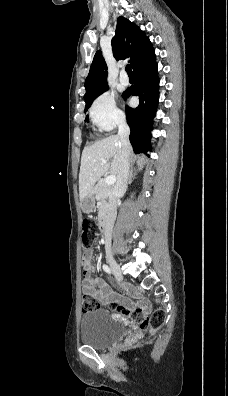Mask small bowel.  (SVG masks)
Segmentation results:
<instances>
[{"label":"small bowel","mask_w":228,"mask_h":396,"mask_svg":"<svg viewBox=\"0 0 228 396\" xmlns=\"http://www.w3.org/2000/svg\"><path fill=\"white\" fill-rule=\"evenodd\" d=\"M83 266V282L82 292L84 295L95 297L102 304H119L134 312L136 319L139 315L147 314L150 311V304L147 300L139 299L133 301L126 296L117 294L101 278L93 279L91 274L96 271V267L92 262V253L88 251L85 259L82 260ZM125 289L131 296H136V291L126 286Z\"/></svg>","instance_id":"c3829d8e"}]
</instances>
